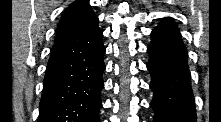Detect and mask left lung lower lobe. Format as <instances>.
<instances>
[{
	"mask_svg": "<svg viewBox=\"0 0 221 122\" xmlns=\"http://www.w3.org/2000/svg\"><path fill=\"white\" fill-rule=\"evenodd\" d=\"M147 48L151 74L154 122H196L188 54L181 34L170 18L152 31Z\"/></svg>",
	"mask_w": 221,
	"mask_h": 122,
	"instance_id": "left-lung-lower-lobe-1",
	"label": "left lung lower lobe"
}]
</instances>
